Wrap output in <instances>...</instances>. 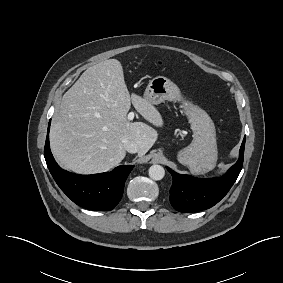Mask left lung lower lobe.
Returning a JSON list of instances; mask_svg holds the SVG:
<instances>
[{
	"label": "left lung lower lobe",
	"mask_w": 283,
	"mask_h": 283,
	"mask_svg": "<svg viewBox=\"0 0 283 283\" xmlns=\"http://www.w3.org/2000/svg\"><path fill=\"white\" fill-rule=\"evenodd\" d=\"M245 138L240 148L239 159L228 172L213 179H200L177 174L167 167L173 177L170 189V202L179 212H196L217 204L236 181L243 165Z\"/></svg>",
	"instance_id": "left-lung-lower-lobe-1"
}]
</instances>
